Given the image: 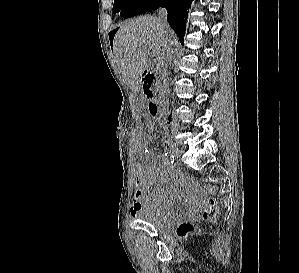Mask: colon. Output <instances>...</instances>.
<instances>
[{"instance_id":"5ec220e1","label":"colon","mask_w":299,"mask_h":273,"mask_svg":"<svg viewBox=\"0 0 299 273\" xmlns=\"http://www.w3.org/2000/svg\"><path fill=\"white\" fill-rule=\"evenodd\" d=\"M151 142L146 141V144L149 146ZM202 217L205 220L213 221L217 217V205L213 198L206 200L205 205L202 210ZM194 232V226L191 223L184 222L177 226L176 233L181 238H186Z\"/></svg>"}]
</instances>
